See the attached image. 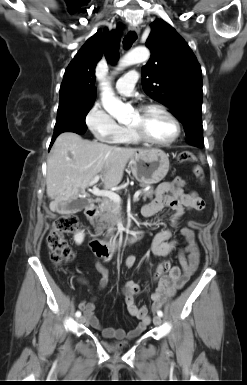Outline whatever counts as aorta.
<instances>
[{"label":"aorta","mask_w":247,"mask_h":385,"mask_svg":"<svg viewBox=\"0 0 247 385\" xmlns=\"http://www.w3.org/2000/svg\"><path fill=\"white\" fill-rule=\"evenodd\" d=\"M150 57V52L145 47H138L126 54L121 60L119 67H127L133 64L147 61ZM102 104L104 109L112 116L121 120L132 111V108L117 99L112 91L108 81L103 83Z\"/></svg>","instance_id":"aorta-1"}]
</instances>
